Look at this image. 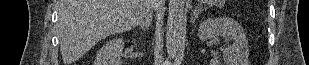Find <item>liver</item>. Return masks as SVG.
I'll use <instances>...</instances> for the list:
<instances>
[{
  "label": "liver",
  "instance_id": "1",
  "mask_svg": "<svg viewBox=\"0 0 309 65\" xmlns=\"http://www.w3.org/2000/svg\"><path fill=\"white\" fill-rule=\"evenodd\" d=\"M149 0H58V36L66 65L101 39L139 24Z\"/></svg>",
  "mask_w": 309,
  "mask_h": 65
}]
</instances>
